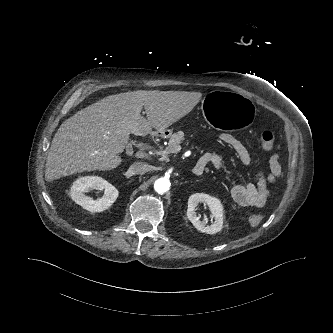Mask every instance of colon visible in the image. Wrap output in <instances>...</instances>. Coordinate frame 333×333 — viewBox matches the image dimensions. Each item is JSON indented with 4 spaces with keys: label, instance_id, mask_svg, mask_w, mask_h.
<instances>
[{
    "label": "colon",
    "instance_id": "obj_1",
    "mask_svg": "<svg viewBox=\"0 0 333 333\" xmlns=\"http://www.w3.org/2000/svg\"><path fill=\"white\" fill-rule=\"evenodd\" d=\"M275 142V136L271 131H265L261 134L259 139L260 148L263 151H269L273 148ZM263 215L262 214H253L249 217V222L252 225H258L262 222Z\"/></svg>",
    "mask_w": 333,
    "mask_h": 333
}]
</instances>
